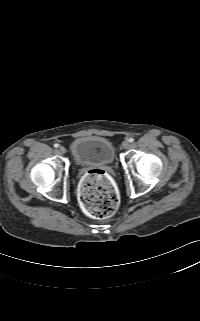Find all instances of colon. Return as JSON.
I'll return each mask as SVG.
<instances>
[{"instance_id":"5ec220e1","label":"colon","mask_w":200,"mask_h":321,"mask_svg":"<svg viewBox=\"0 0 200 321\" xmlns=\"http://www.w3.org/2000/svg\"><path fill=\"white\" fill-rule=\"evenodd\" d=\"M79 198L83 209L97 219L111 217L119 205V196L105 171L90 170L81 180Z\"/></svg>"}]
</instances>
